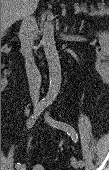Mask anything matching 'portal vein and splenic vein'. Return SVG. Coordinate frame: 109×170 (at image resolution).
Wrapping results in <instances>:
<instances>
[{"mask_svg": "<svg viewBox=\"0 0 109 170\" xmlns=\"http://www.w3.org/2000/svg\"><path fill=\"white\" fill-rule=\"evenodd\" d=\"M80 12V9H79V7L77 6L76 8H75V14H78Z\"/></svg>", "mask_w": 109, "mask_h": 170, "instance_id": "portal-vein-and-splenic-vein-1", "label": "portal vein and splenic vein"}]
</instances>
